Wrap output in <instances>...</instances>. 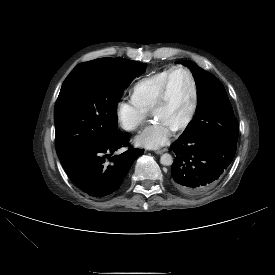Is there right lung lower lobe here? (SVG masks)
<instances>
[{"mask_svg": "<svg viewBox=\"0 0 275 275\" xmlns=\"http://www.w3.org/2000/svg\"><path fill=\"white\" fill-rule=\"evenodd\" d=\"M128 141L125 135L118 132L93 144L69 150L59 158L80 190L93 197H103L120 187L134 160L143 153L141 149L130 147L118 158L112 156ZM109 159L113 163L109 164Z\"/></svg>", "mask_w": 275, "mask_h": 275, "instance_id": "obj_1", "label": "right lung lower lobe"}]
</instances>
